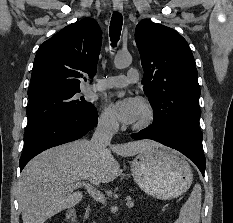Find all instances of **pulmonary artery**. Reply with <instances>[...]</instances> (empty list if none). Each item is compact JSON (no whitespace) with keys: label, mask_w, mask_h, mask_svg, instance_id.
Segmentation results:
<instances>
[{"label":"pulmonary artery","mask_w":233,"mask_h":223,"mask_svg":"<svg viewBox=\"0 0 233 223\" xmlns=\"http://www.w3.org/2000/svg\"><path fill=\"white\" fill-rule=\"evenodd\" d=\"M139 78V73L136 69H130L127 75L113 76L104 79L98 85V88L123 87L131 83H135Z\"/></svg>","instance_id":"obj_1"}]
</instances>
